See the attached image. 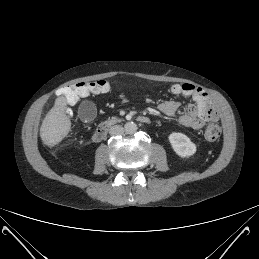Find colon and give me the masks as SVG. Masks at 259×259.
<instances>
[{"instance_id": "obj_1", "label": "colon", "mask_w": 259, "mask_h": 259, "mask_svg": "<svg viewBox=\"0 0 259 259\" xmlns=\"http://www.w3.org/2000/svg\"><path fill=\"white\" fill-rule=\"evenodd\" d=\"M110 89V84L106 80H95L90 82L77 83L72 86L64 87L60 90V94L66 99L69 104H74L80 97H85L89 94H102ZM171 92L175 95H180L185 99L197 97L205 101L208 99L209 94L205 90H197L192 84L175 85L171 88ZM209 112L212 108L209 107ZM221 128L217 123L211 122L207 125L204 135L209 141H215L220 137Z\"/></svg>"}]
</instances>
